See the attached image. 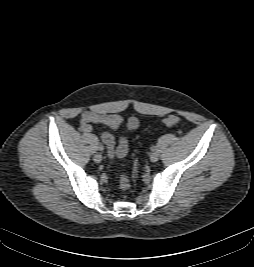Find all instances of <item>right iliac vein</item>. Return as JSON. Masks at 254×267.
Segmentation results:
<instances>
[{
    "mask_svg": "<svg viewBox=\"0 0 254 267\" xmlns=\"http://www.w3.org/2000/svg\"><path fill=\"white\" fill-rule=\"evenodd\" d=\"M93 159L96 163H100L102 160V155L100 153H97L94 155Z\"/></svg>",
    "mask_w": 254,
    "mask_h": 267,
    "instance_id": "right-iliac-vein-1",
    "label": "right iliac vein"
}]
</instances>
